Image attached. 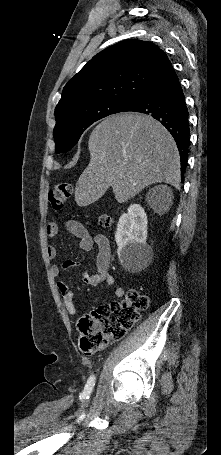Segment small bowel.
<instances>
[{"label": "small bowel", "instance_id": "1", "mask_svg": "<svg viewBox=\"0 0 221 455\" xmlns=\"http://www.w3.org/2000/svg\"><path fill=\"white\" fill-rule=\"evenodd\" d=\"M66 227L70 233L75 235L79 240V247L84 251H90L93 246L97 247L95 270L93 272L83 271L81 274L82 281L91 286L98 287L102 284L112 286L115 284V278L110 272V258L111 248L108 238L103 234L91 236L85 226L75 220H70L66 223ZM46 234L49 238H55L58 234V227L56 224L51 223L47 226ZM47 255L50 260H55L58 257V249L56 246L50 245L47 249ZM77 261H65L62 265L53 264L51 266V274L53 276H60L63 272L77 267ZM58 290L62 295L63 303L66 311L70 315L77 314V308L74 303V292L62 279H59ZM114 294L116 297L124 295L122 287H115Z\"/></svg>", "mask_w": 221, "mask_h": 455}]
</instances>
